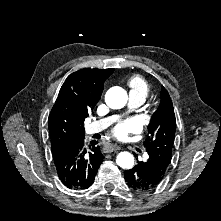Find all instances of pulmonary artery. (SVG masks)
I'll return each instance as SVG.
<instances>
[{
	"mask_svg": "<svg viewBox=\"0 0 221 221\" xmlns=\"http://www.w3.org/2000/svg\"><path fill=\"white\" fill-rule=\"evenodd\" d=\"M145 102V98L141 95L130 93L129 94V106L132 108H137L141 106ZM116 117L111 116L107 117L98 121H95L88 125L87 127V133L92 134L96 132H100L104 130L107 126H109L111 123L115 121Z\"/></svg>",
	"mask_w": 221,
	"mask_h": 221,
	"instance_id": "pulmonary-artery-1",
	"label": "pulmonary artery"
}]
</instances>
